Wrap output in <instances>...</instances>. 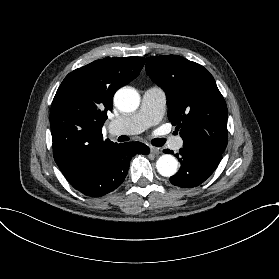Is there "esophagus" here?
Returning <instances> with one entry per match:
<instances>
[{
	"label": "esophagus",
	"mask_w": 279,
	"mask_h": 279,
	"mask_svg": "<svg viewBox=\"0 0 279 279\" xmlns=\"http://www.w3.org/2000/svg\"><path fill=\"white\" fill-rule=\"evenodd\" d=\"M150 152H151V154H153V155H158V154L160 153V149L157 148V147L151 146V147H150Z\"/></svg>",
	"instance_id": "1"
}]
</instances>
